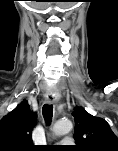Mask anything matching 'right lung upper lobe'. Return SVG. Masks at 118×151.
Here are the masks:
<instances>
[{"label": "right lung upper lobe", "instance_id": "cb5924a9", "mask_svg": "<svg viewBox=\"0 0 118 151\" xmlns=\"http://www.w3.org/2000/svg\"><path fill=\"white\" fill-rule=\"evenodd\" d=\"M36 117L25 100L4 116L0 120V151L33 150L32 130Z\"/></svg>", "mask_w": 118, "mask_h": 151}]
</instances>
